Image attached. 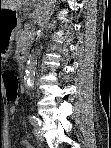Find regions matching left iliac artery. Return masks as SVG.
Listing matches in <instances>:
<instances>
[{
	"mask_svg": "<svg viewBox=\"0 0 111 148\" xmlns=\"http://www.w3.org/2000/svg\"><path fill=\"white\" fill-rule=\"evenodd\" d=\"M29 122L36 126V125H40V120L38 118H36L34 115H29Z\"/></svg>",
	"mask_w": 111,
	"mask_h": 148,
	"instance_id": "left-iliac-artery-1",
	"label": "left iliac artery"
}]
</instances>
